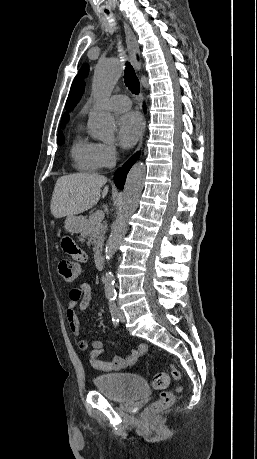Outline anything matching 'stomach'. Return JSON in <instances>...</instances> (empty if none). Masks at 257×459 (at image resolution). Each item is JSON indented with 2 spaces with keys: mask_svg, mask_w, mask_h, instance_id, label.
Masks as SVG:
<instances>
[{
  "mask_svg": "<svg viewBox=\"0 0 257 459\" xmlns=\"http://www.w3.org/2000/svg\"><path fill=\"white\" fill-rule=\"evenodd\" d=\"M86 220L83 216H67L65 220V229L71 234H78L82 232Z\"/></svg>",
  "mask_w": 257,
  "mask_h": 459,
  "instance_id": "0dacf381",
  "label": "stomach"
}]
</instances>
